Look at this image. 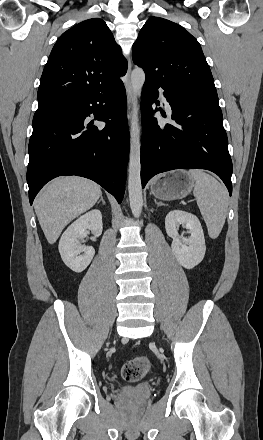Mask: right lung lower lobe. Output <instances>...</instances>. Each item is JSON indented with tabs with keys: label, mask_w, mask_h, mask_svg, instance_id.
Masks as SVG:
<instances>
[{
	"label": "right lung lower lobe",
	"mask_w": 263,
	"mask_h": 440,
	"mask_svg": "<svg viewBox=\"0 0 263 440\" xmlns=\"http://www.w3.org/2000/svg\"><path fill=\"white\" fill-rule=\"evenodd\" d=\"M91 113L106 122L104 128L84 123ZM28 151L30 204L48 181L60 175L89 178L121 203L129 151L123 82L63 103L59 115L33 129Z\"/></svg>",
	"instance_id": "1"
}]
</instances>
